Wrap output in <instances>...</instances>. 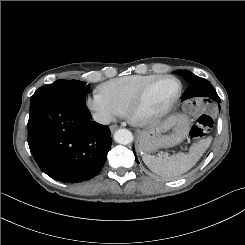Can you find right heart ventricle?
Segmentation results:
<instances>
[{
	"mask_svg": "<svg viewBox=\"0 0 245 245\" xmlns=\"http://www.w3.org/2000/svg\"><path fill=\"white\" fill-rule=\"evenodd\" d=\"M159 76L147 74L119 77L103 83L99 90L126 113L130 103L141 88Z\"/></svg>",
	"mask_w": 245,
	"mask_h": 245,
	"instance_id": "e07e8e85",
	"label": "right heart ventricle"
}]
</instances>
